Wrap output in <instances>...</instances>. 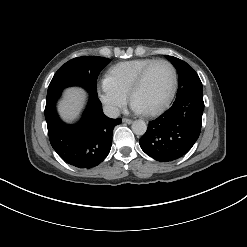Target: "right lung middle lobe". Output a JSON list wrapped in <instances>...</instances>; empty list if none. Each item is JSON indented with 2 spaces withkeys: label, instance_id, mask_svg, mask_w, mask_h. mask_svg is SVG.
<instances>
[{
  "label": "right lung middle lobe",
  "instance_id": "obj_1",
  "mask_svg": "<svg viewBox=\"0 0 247 247\" xmlns=\"http://www.w3.org/2000/svg\"><path fill=\"white\" fill-rule=\"evenodd\" d=\"M110 61V59L97 56H83L69 60L59 68L52 78L48 87L47 97L59 93L70 86H81L89 94L97 95V77Z\"/></svg>",
  "mask_w": 247,
  "mask_h": 247
}]
</instances>
